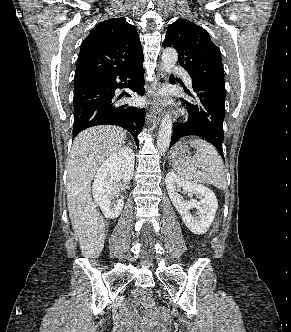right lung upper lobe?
Returning <instances> with one entry per match:
<instances>
[{
	"instance_id": "right-lung-upper-lobe-1",
	"label": "right lung upper lobe",
	"mask_w": 291,
	"mask_h": 332,
	"mask_svg": "<svg viewBox=\"0 0 291 332\" xmlns=\"http://www.w3.org/2000/svg\"><path fill=\"white\" fill-rule=\"evenodd\" d=\"M142 61V46L135 27L124 18L105 20L83 41L74 81L124 72Z\"/></svg>"
}]
</instances>
